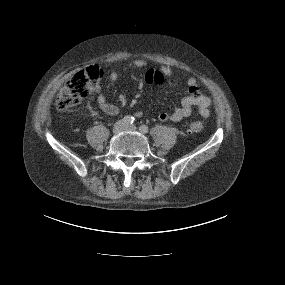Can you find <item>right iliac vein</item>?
<instances>
[{
    "label": "right iliac vein",
    "instance_id": "63e3f726",
    "mask_svg": "<svg viewBox=\"0 0 285 285\" xmlns=\"http://www.w3.org/2000/svg\"><path fill=\"white\" fill-rule=\"evenodd\" d=\"M126 124L123 120L117 121L113 126V132L115 134L120 133L124 128Z\"/></svg>",
    "mask_w": 285,
    "mask_h": 285
}]
</instances>
